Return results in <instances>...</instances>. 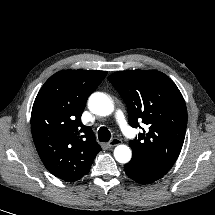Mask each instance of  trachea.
<instances>
[{
  "label": "trachea",
  "instance_id": "obj_1",
  "mask_svg": "<svg viewBox=\"0 0 215 215\" xmlns=\"http://www.w3.org/2000/svg\"><path fill=\"white\" fill-rule=\"evenodd\" d=\"M98 138L101 142H108L111 138V133L106 127H100L98 130Z\"/></svg>",
  "mask_w": 215,
  "mask_h": 215
}]
</instances>
